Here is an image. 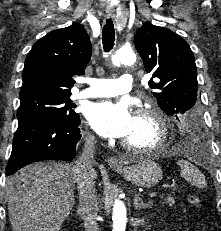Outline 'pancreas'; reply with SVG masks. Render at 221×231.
<instances>
[{
    "label": "pancreas",
    "instance_id": "obj_1",
    "mask_svg": "<svg viewBox=\"0 0 221 231\" xmlns=\"http://www.w3.org/2000/svg\"><path fill=\"white\" fill-rule=\"evenodd\" d=\"M163 200L168 204H174L175 203V200L172 196L164 197Z\"/></svg>",
    "mask_w": 221,
    "mask_h": 231
}]
</instances>
